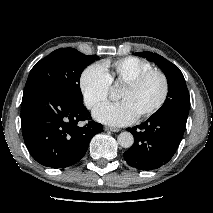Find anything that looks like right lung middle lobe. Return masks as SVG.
<instances>
[{"label":"right lung middle lobe","mask_w":213,"mask_h":213,"mask_svg":"<svg viewBox=\"0 0 213 213\" xmlns=\"http://www.w3.org/2000/svg\"><path fill=\"white\" fill-rule=\"evenodd\" d=\"M97 55H85L74 48H60L37 62L28 76L26 87L45 85L76 105H83L79 85L83 69Z\"/></svg>","instance_id":"1"}]
</instances>
